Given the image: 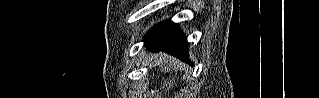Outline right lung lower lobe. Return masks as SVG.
I'll list each match as a JSON object with an SVG mask.
<instances>
[{"mask_svg": "<svg viewBox=\"0 0 319 98\" xmlns=\"http://www.w3.org/2000/svg\"><path fill=\"white\" fill-rule=\"evenodd\" d=\"M143 41L145 42V46L151 51L159 52L162 50L189 62L186 38L178 25L170 20L152 27L145 35Z\"/></svg>", "mask_w": 319, "mask_h": 98, "instance_id": "1", "label": "right lung lower lobe"}]
</instances>
